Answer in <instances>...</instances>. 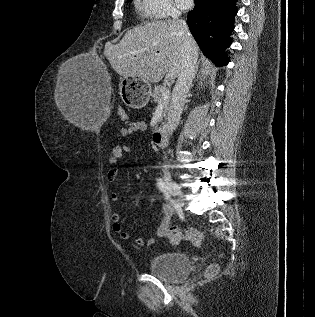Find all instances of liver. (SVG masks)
<instances>
[{"label":"liver","mask_w":315,"mask_h":317,"mask_svg":"<svg viewBox=\"0 0 315 317\" xmlns=\"http://www.w3.org/2000/svg\"><path fill=\"white\" fill-rule=\"evenodd\" d=\"M187 34L198 55L194 38L189 31ZM181 44L177 21H154L129 30L117 45H106L104 55L123 78L157 83L165 77L173 81L182 67Z\"/></svg>","instance_id":"1"}]
</instances>
